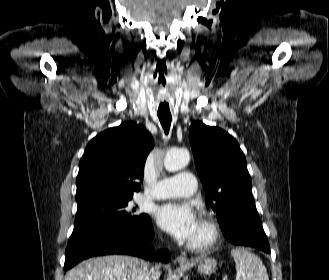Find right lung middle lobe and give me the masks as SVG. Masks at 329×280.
Segmentation results:
<instances>
[{"label": "right lung middle lobe", "mask_w": 329, "mask_h": 280, "mask_svg": "<svg viewBox=\"0 0 329 280\" xmlns=\"http://www.w3.org/2000/svg\"><path fill=\"white\" fill-rule=\"evenodd\" d=\"M132 197L91 195L76 199L77 215L73 233L93 224H110L131 232L143 229L151 220L128 205Z\"/></svg>", "instance_id": "right-lung-middle-lobe-1"}]
</instances>
